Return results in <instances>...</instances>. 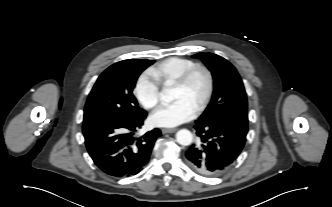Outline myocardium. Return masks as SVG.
<instances>
[{"mask_svg":"<svg viewBox=\"0 0 332 207\" xmlns=\"http://www.w3.org/2000/svg\"><path fill=\"white\" fill-rule=\"evenodd\" d=\"M199 72H202L206 78V89L202 98L196 106L197 112L203 111L212 97L214 91V76L212 71L205 65L196 64L189 68L187 71H185L173 82L174 86L185 88L191 82L193 77Z\"/></svg>","mask_w":332,"mask_h":207,"instance_id":"f54148a6","label":"myocardium"}]
</instances>
